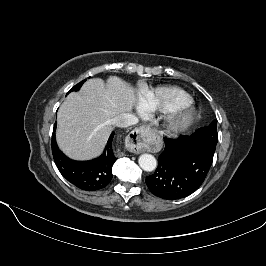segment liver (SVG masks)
I'll return each instance as SVG.
<instances>
[{
    "instance_id": "6515ba94",
    "label": "liver",
    "mask_w": 266,
    "mask_h": 266,
    "mask_svg": "<svg viewBox=\"0 0 266 266\" xmlns=\"http://www.w3.org/2000/svg\"><path fill=\"white\" fill-rule=\"evenodd\" d=\"M136 101L134 88L119 77H109L106 84L100 78L87 80L59 108L56 138L60 149L77 160L99 155L113 130L111 119L130 112Z\"/></svg>"
}]
</instances>
